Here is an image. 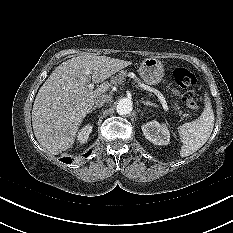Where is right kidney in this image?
Wrapping results in <instances>:
<instances>
[{
	"mask_svg": "<svg viewBox=\"0 0 233 233\" xmlns=\"http://www.w3.org/2000/svg\"><path fill=\"white\" fill-rule=\"evenodd\" d=\"M92 132V126L90 124L85 125L78 133L77 140L80 144L87 142L90 133Z\"/></svg>",
	"mask_w": 233,
	"mask_h": 233,
	"instance_id": "ca27d5eb",
	"label": "right kidney"
}]
</instances>
